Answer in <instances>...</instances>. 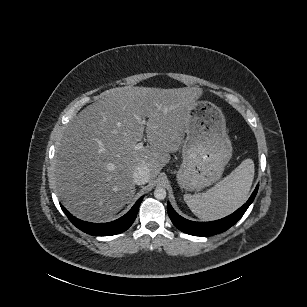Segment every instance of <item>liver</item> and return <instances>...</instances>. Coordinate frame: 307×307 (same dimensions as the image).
<instances>
[{
  "label": "liver",
  "mask_w": 307,
  "mask_h": 307,
  "mask_svg": "<svg viewBox=\"0 0 307 307\" xmlns=\"http://www.w3.org/2000/svg\"><path fill=\"white\" fill-rule=\"evenodd\" d=\"M201 93L197 87H115L83 109L67 126L53 161L56 194L66 209L83 221L101 222L128 204L134 169L145 164L151 179L157 177L178 149ZM144 132L150 145L134 150Z\"/></svg>",
  "instance_id": "6515ba94"
}]
</instances>
